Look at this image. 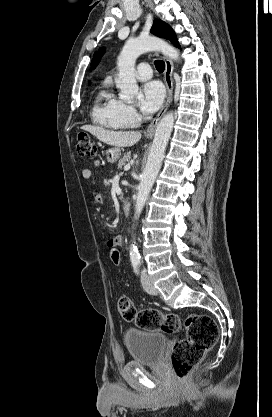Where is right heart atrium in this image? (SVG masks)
Listing matches in <instances>:
<instances>
[{
  "instance_id": "d8ad5b80",
  "label": "right heart atrium",
  "mask_w": 272,
  "mask_h": 417,
  "mask_svg": "<svg viewBox=\"0 0 272 417\" xmlns=\"http://www.w3.org/2000/svg\"><path fill=\"white\" fill-rule=\"evenodd\" d=\"M120 114L129 125L136 124L140 119L135 107L128 104L120 103Z\"/></svg>"
}]
</instances>
